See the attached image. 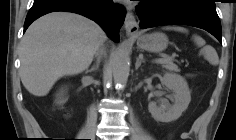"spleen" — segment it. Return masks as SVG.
Listing matches in <instances>:
<instances>
[{
	"mask_svg": "<svg viewBox=\"0 0 236 140\" xmlns=\"http://www.w3.org/2000/svg\"><path fill=\"white\" fill-rule=\"evenodd\" d=\"M164 29L187 33V30L183 27H165ZM193 40L197 46L202 47L200 54H202L212 65H216L218 63V55L215 49L206 45L205 40L198 35H194Z\"/></svg>",
	"mask_w": 236,
	"mask_h": 140,
	"instance_id": "spleen-1",
	"label": "spleen"
}]
</instances>
